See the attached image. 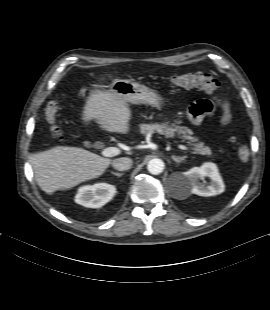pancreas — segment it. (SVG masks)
<instances>
[{
  "label": "pancreas",
  "instance_id": "obj_1",
  "mask_svg": "<svg viewBox=\"0 0 270 310\" xmlns=\"http://www.w3.org/2000/svg\"><path fill=\"white\" fill-rule=\"evenodd\" d=\"M140 132L142 134L158 133L165 135L166 138H173L177 135L180 139H182V141H186V143L191 147L193 154L212 155V151L208 146H205L203 142H198L199 139L197 137L191 136L193 132L189 128L179 126L175 123L171 125H168L167 123L141 124Z\"/></svg>",
  "mask_w": 270,
  "mask_h": 310
}]
</instances>
